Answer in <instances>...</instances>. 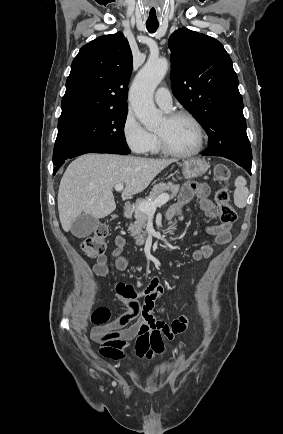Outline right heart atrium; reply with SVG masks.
<instances>
[{
	"label": "right heart atrium",
	"mask_w": 283,
	"mask_h": 434,
	"mask_svg": "<svg viewBox=\"0 0 283 434\" xmlns=\"http://www.w3.org/2000/svg\"><path fill=\"white\" fill-rule=\"evenodd\" d=\"M122 135L128 148L136 154L149 152L155 135L149 132L132 110H128L122 123Z\"/></svg>",
	"instance_id": "right-heart-atrium-1"
}]
</instances>
